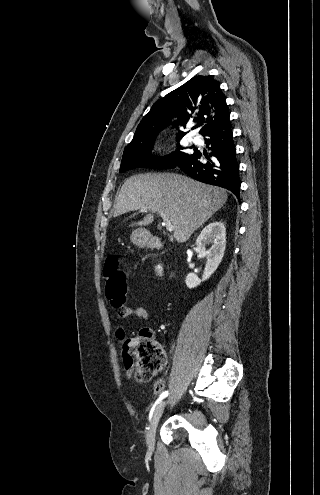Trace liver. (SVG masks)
<instances>
[{"mask_svg": "<svg viewBox=\"0 0 320 495\" xmlns=\"http://www.w3.org/2000/svg\"><path fill=\"white\" fill-rule=\"evenodd\" d=\"M224 189L177 174H139L128 178L118 195L114 216L145 208L148 214L133 225L147 226L155 213H164L183 243L226 203Z\"/></svg>", "mask_w": 320, "mask_h": 495, "instance_id": "liver-1", "label": "liver"}]
</instances>
